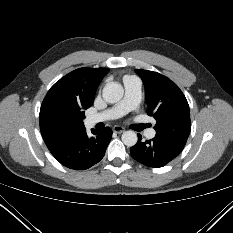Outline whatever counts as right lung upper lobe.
<instances>
[{"label": "right lung upper lobe", "instance_id": "1", "mask_svg": "<svg viewBox=\"0 0 233 233\" xmlns=\"http://www.w3.org/2000/svg\"><path fill=\"white\" fill-rule=\"evenodd\" d=\"M108 71V68H79L50 88L39 115L48 149L85 129L84 110L93 104L96 89Z\"/></svg>", "mask_w": 233, "mask_h": 233}]
</instances>
